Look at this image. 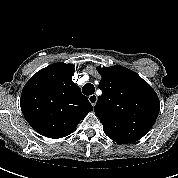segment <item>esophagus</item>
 <instances>
[{
  "label": "esophagus",
  "instance_id": "obj_1",
  "mask_svg": "<svg viewBox=\"0 0 178 178\" xmlns=\"http://www.w3.org/2000/svg\"><path fill=\"white\" fill-rule=\"evenodd\" d=\"M88 100L93 106H95L97 102V96L95 94H92L88 97Z\"/></svg>",
  "mask_w": 178,
  "mask_h": 178
}]
</instances>
